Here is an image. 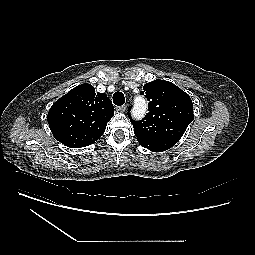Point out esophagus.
<instances>
[{"label": "esophagus", "instance_id": "1", "mask_svg": "<svg viewBox=\"0 0 255 255\" xmlns=\"http://www.w3.org/2000/svg\"><path fill=\"white\" fill-rule=\"evenodd\" d=\"M127 109V105H122V106H117L116 110L118 112H125V110Z\"/></svg>", "mask_w": 255, "mask_h": 255}]
</instances>
